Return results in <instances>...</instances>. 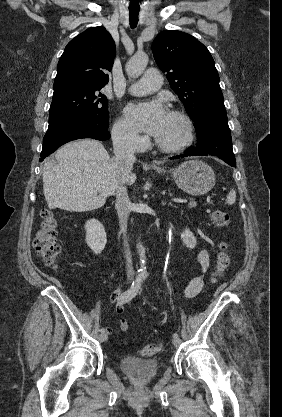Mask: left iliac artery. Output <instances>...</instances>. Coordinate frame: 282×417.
<instances>
[{
    "instance_id": "left-iliac-artery-1",
    "label": "left iliac artery",
    "mask_w": 282,
    "mask_h": 417,
    "mask_svg": "<svg viewBox=\"0 0 282 417\" xmlns=\"http://www.w3.org/2000/svg\"><path fill=\"white\" fill-rule=\"evenodd\" d=\"M173 337H178V334H177V333H174V334H173Z\"/></svg>"
}]
</instances>
